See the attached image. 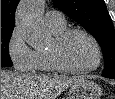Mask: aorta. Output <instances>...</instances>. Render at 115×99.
I'll return each mask as SVG.
<instances>
[{
  "instance_id": "762f6f07",
  "label": "aorta",
  "mask_w": 115,
  "mask_h": 99,
  "mask_svg": "<svg viewBox=\"0 0 115 99\" xmlns=\"http://www.w3.org/2000/svg\"><path fill=\"white\" fill-rule=\"evenodd\" d=\"M44 0H25L16 13V26L29 45L42 46L47 41V30L42 20Z\"/></svg>"
}]
</instances>
